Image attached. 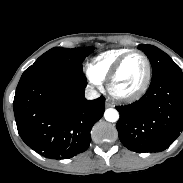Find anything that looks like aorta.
Instances as JSON below:
<instances>
[{
    "mask_svg": "<svg viewBox=\"0 0 183 183\" xmlns=\"http://www.w3.org/2000/svg\"><path fill=\"white\" fill-rule=\"evenodd\" d=\"M104 117L108 122H116L119 119V113L113 108L106 109Z\"/></svg>",
    "mask_w": 183,
    "mask_h": 183,
    "instance_id": "aorta-1",
    "label": "aorta"
}]
</instances>
